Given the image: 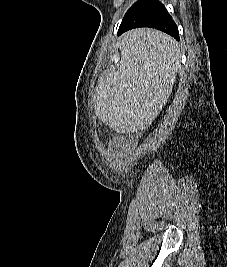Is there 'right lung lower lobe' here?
I'll return each instance as SVG.
<instances>
[{
    "label": "right lung lower lobe",
    "mask_w": 227,
    "mask_h": 267,
    "mask_svg": "<svg viewBox=\"0 0 227 267\" xmlns=\"http://www.w3.org/2000/svg\"><path fill=\"white\" fill-rule=\"evenodd\" d=\"M138 27L156 28L179 40L177 25L158 0H141L135 3L125 14L118 35Z\"/></svg>",
    "instance_id": "right-lung-lower-lobe-1"
}]
</instances>
